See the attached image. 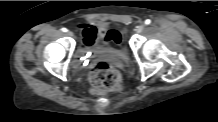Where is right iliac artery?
I'll return each mask as SVG.
<instances>
[{
	"mask_svg": "<svg viewBox=\"0 0 218 122\" xmlns=\"http://www.w3.org/2000/svg\"><path fill=\"white\" fill-rule=\"evenodd\" d=\"M63 32H67V29L66 28H62L61 29Z\"/></svg>",
	"mask_w": 218,
	"mask_h": 122,
	"instance_id": "82829eb1",
	"label": "right iliac artery"
}]
</instances>
